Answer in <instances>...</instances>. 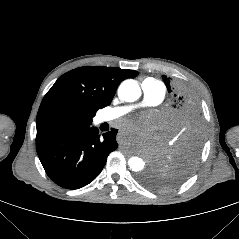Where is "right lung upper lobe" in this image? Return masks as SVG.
<instances>
[{
  "mask_svg": "<svg viewBox=\"0 0 239 239\" xmlns=\"http://www.w3.org/2000/svg\"><path fill=\"white\" fill-rule=\"evenodd\" d=\"M138 74L104 66H85L65 73L41 102L36 141L90 125L97 110L111 104L118 85Z\"/></svg>",
  "mask_w": 239,
  "mask_h": 239,
  "instance_id": "cb5924a9",
  "label": "right lung upper lobe"
}]
</instances>
